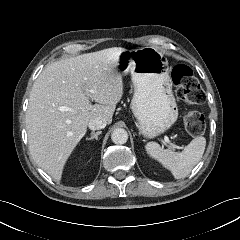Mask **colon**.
I'll list each match as a JSON object with an SVG mask.
<instances>
[{
  "mask_svg": "<svg viewBox=\"0 0 240 240\" xmlns=\"http://www.w3.org/2000/svg\"><path fill=\"white\" fill-rule=\"evenodd\" d=\"M171 79L176 86L179 99L189 105L201 104L205 93L192 69L186 65H177L171 71ZM186 131L192 135H200L205 129V118L197 111H189L183 117Z\"/></svg>",
  "mask_w": 240,
  "mask_h": 240,
  "instance_id": "colon-1",
  "label": "colon"
}]
</instances>
